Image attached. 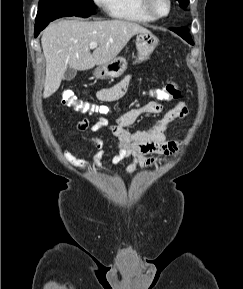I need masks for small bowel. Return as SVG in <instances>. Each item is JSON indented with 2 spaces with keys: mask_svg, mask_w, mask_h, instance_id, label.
<instances>
[{
  "mask_svg": "<svg viewBox=\"0 0 243 289\" xmlns=\"http://www.w3.org/2000/svg\"><path fill=\"white\" fill-rule=\"evenodd\" d=\"M131 75H128L119 84L100 90L97 93L99 100L112 102L122 97L129 88ZM164 106L158 101L149 102L143 106L131 109L117 117L109 129L112 135L117 152L110 157V162L114 165L121 163L126 159L142 166H152L164 162L166 159H151L150 155L176 156L180 150L181 141L168 140L167 132L172 128L177 119L184 118L188 113V107L183 102H178L174 107L167 110L156 125L148 130L134 131L128 130L140 117L144 115H157L163 112ZM108 125L106 118H99L98 121L90 123L84 118L77 122L76 128L88 133L98 132ZM93 144L91 150L93 157L91 161L74 159L73 161L84 169H101V161L104 157L102 151L103 142L95 137H90ZM68 155V152H66ZM131 171V167L128 170Z\"/></svg>",
  "mask_w": 243,
  "mask_h": 289,
  "instance_id": "1",
  "label": "small bowel"
}]
</instances>
